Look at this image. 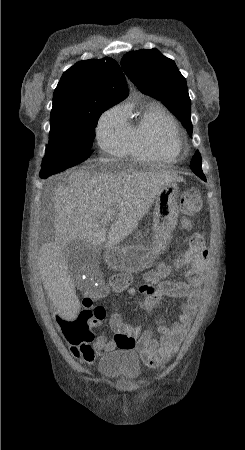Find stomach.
Here are the masks:
<instances>
[{"mask_svg":"<svg viewBox=\"0 0 245 450\" xmlns=\"http://www.w3.org/2000/svg\"><path fill=\"white\" fill-rule=\"evenodd\" d=\"M179 187L177 182L163 185L154 202L153 236L151 245L114 246L105 252V260L119 271L140 272L153 265L170 241L177 224Z\"/></svg>","mask_w":245,"mask_h":450,"instance_id":"obj_1","label":"stomach"}]
</instances>
